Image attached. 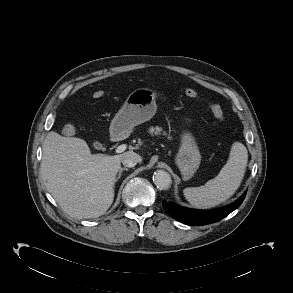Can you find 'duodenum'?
Instances as JSON below:
<instances>
[{
  "instance_id": "1",
  "label": "duodenum",
  "mask_w": 293,
  "mask_h": 293,
  "mask_svg": "<svg viewBox=\"0 0 293 293\" xmlns=\"http://www.w3.org/2000/svg\"><path fill=\"white\" fill-rule=\"evenodd\" d=\"M123 137L122 134L118 133V132H115L114 135H113V140L114 141H118V140H121Z\"/></svg>"
}]
</instances>
